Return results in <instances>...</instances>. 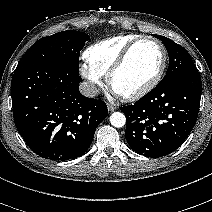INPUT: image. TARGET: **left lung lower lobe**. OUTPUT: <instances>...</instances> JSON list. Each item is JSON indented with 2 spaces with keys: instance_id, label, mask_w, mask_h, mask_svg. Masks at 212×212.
<instances>
[{
  "instance_id": "1",
  "label": "left lung lower lobe",
  "mask_w": 212,
  "mask_h": 212,
  "mask_svg": "<svg viewBox=\"0 0 212 212\" xmlns=\"http://www.w3.org/2000/svg\"><path fill=\"white\" fill-rule=\"evenodd\" d=\"M202 83L197 70L157 85L134 105L121 108L130 147L146 157L174 152L196 123Z\"/></svg>"
}]
</instances>
